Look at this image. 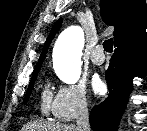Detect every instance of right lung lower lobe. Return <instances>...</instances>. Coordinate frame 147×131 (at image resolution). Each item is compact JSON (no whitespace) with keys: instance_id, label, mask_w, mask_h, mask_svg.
<instances>
[{"instance_id":"right-lung-lower-lobe-1","label":"right lung lower lobe","mask_w":147,"mask_h":131,"mask_svg":"<svg viewBox=\"0 0 147 131\" xmlns=\"http://www.w3.org/2000/svg\"><path fill=\"white\" fill-rule=\"evenodd\" d=\"M147 73L146 28L132 38L115 44V51L106 71L108 97L93 107L90 125L94 131H116L132 91L135 76Z\"/></svg>"}]
</instances>
